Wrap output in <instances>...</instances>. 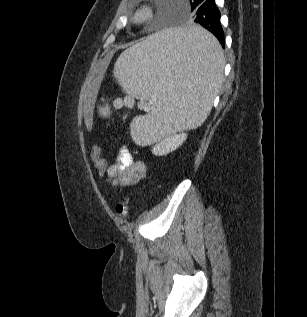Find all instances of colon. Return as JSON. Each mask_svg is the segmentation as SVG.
Masks as SVG:
<instances>
[{
    "label": "colon",
    "instance_id": "5ec220e1",
    "mask_svg": "<svg viewBox=\"0 0 307 317\" xmlns=\"http://www.w3.org/2000/svg\"><path fill=\"white\" fill-rule=\"evenodd\" d=\"M91 157L93 164L98 172L99 176H104L106 175L107 172V163L106 161L102 158V153L101 149L98 147H94L91 152ZM128 208H129V200L127 197H124L122 200H120L115 207L116 214L119 217H126L128 214Z\"/></svg>",
    "mask_w": 307,
    "mask_h": 317
}]
</instances>
